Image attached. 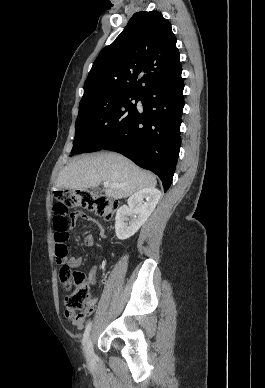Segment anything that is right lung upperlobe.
Wrapping results in <instances>:
<instances>
[{
  "instance_id": "1",
  "label": "right lung upper lobe",
  "mask_w": 265,
  "mask_h": 388,
  "mask_svg": "<svg viewBox=\"0 0 265 388\" xmlns=\"http://www.w3.org/2000/svg\"><path fill=\"white\" fill-rule=\"evenodd\" d=\"M176 37L158 11L137 12L115 41L102 49L84 84L83 98L104 90L141 95L182 72Z\"/></svg>"
}]
</instances>
